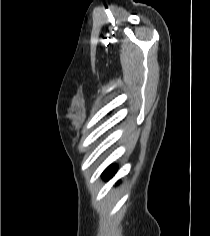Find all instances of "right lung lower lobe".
Returning <instances> with one entry per match:
<instances>
[{"label":"right lung lower lobe","mask_w":210,"mask_h":236,"mask_svg":"<svg viewBox=\"0 0 210 236\" xmlns=\"http://www.w3.org/2000/svg\"><path fill=\"white\" fill-rule=\"evenodd\" d=\"M115 166H109L105 171H104V173H103V177L105 178V179H110L113 175H114V173H115Z\"/></svg>","instance_id":"right-lung-lower-lobe-1"}]
</instances>
